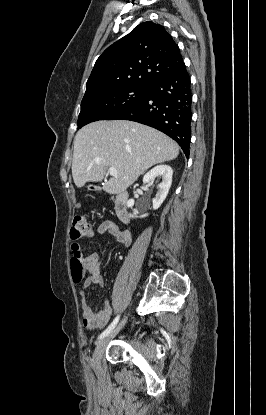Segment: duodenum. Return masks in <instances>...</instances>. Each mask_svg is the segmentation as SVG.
I'll return each instance as SVG.
<instances>
[{
	"label": "duodenum",
	"mask_w": 266,
	"mask_h": 415,
	"mask_svg": "<svg viewBox=\"0 0 266 415\" xmlns=\"http://www.w3.org/2000/svg\"><path fill=\"white\" fill-rule=\"evenodd\" d=\"M128 193L126 191H118L114 199V209L118 219L124 223L128 221Z\"/></svg>",
	"instance_id": "duodenum-1"
}]
</instances>
